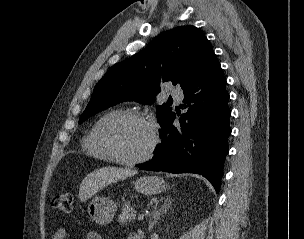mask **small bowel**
Here are the masks:
<instances>
[{
    "mask_svg": "<svg viewBox=\"0 0 304 239\" xmlns=\"http://www.w3.org/2000/svg\"><path fill=\"white\" fill-rule=\"evenodd\" d=\"M67 237V230L64 228H59L53 233L51 239H67ZM86 239H102V237L97 232H89L86 235Z\"/></svg>",
    "mask_w": 304,
    "mask_h": 239,
    "instance_id": "1",
    "label": "small bowel"
}]
</instances>
